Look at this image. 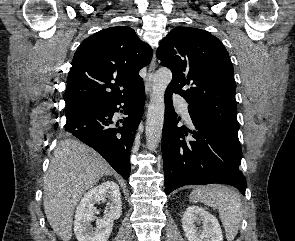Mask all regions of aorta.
<instances>
[{"label":"aorta","mask_w":295,"mask_h":241,"mask_svg":"<svg viewBox=\"0 0 295 241\" xmlns=\"http://www.w3.org/2000/svg\"><path fill=\"white\" fill-rule=\"evenodd\" d=\"M171 80L172 72L168 68H160L153 77L146 119V144L150 151H155L161 140L165 112L164 95Z\"/></svg>","instance_id":"762f6f07"}]
</instances>
